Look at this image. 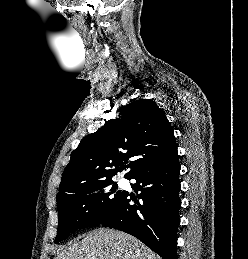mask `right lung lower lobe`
Instances as JSON below:
<instances>
[{"mask_svg":"<svg viewBox=\"0 0 248 259\" xmlns=\"http://www.w3.org/2000/svg\"><path fill=\"white\" fill-rule=\"evenodd\" d=\"M179 173L178 153L141 169L130 178L137 181L134 190L141 192V202L126 192L114 216L101 225L135 236L163 259H177ZM131 199L136 204L131 205Z\"/></svg>","mask_w":248,"mask_h":259,"instance_id":"obj_1","label":"right lung lower lobe"}]
</instances>
